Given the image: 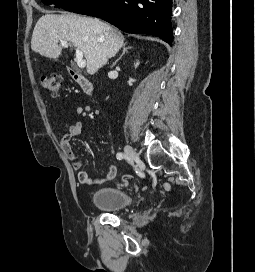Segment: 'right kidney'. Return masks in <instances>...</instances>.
<instances>
[{
    "mask_svg": "<svg viewBox=\"0 0 255 272\" xmlns=\"http://www.w3.org/2000/svg\"><path fill=\"white\" fill-rule=\"evenodd\" d=\"M139 65V63L137 62L136 64H135V67H137Z\"/></svg>",
    "mask_w": 255,
    "mask_h": 272,
    "instance_id": "obj_1",
    "label": "right kidney"
}]
</instances>
